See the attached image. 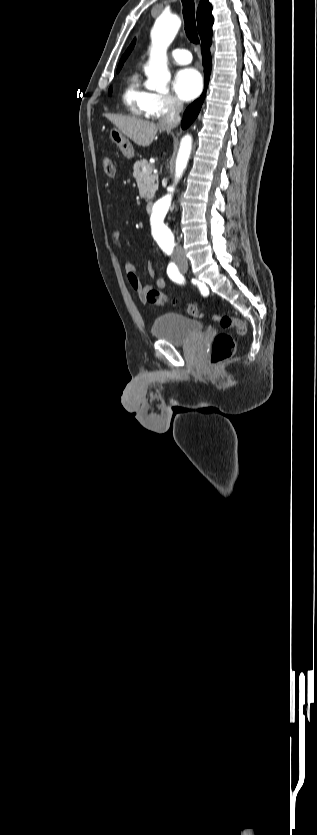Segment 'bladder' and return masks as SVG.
<instances>
[{"label": "bladder", "mask_w": 317, "mask_h": 835, "mask_svg": "<svg viewBox=\"0 0 317 835\" xmlns=\"http://www.w3.org/2000/svg\"><path fill=\"white\" fill-rule=\"evenodd\" d=\"M152 333L154 337L166 340L175 346H184L202 338L204 326L198 320L185 315L168 313L154 320Z\"/></svg>", "instance_id": "31cf9c89"}]
</instances>
